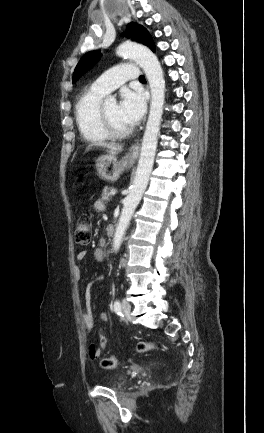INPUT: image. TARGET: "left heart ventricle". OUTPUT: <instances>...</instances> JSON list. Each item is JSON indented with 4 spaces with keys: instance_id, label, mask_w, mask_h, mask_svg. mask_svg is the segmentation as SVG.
<instances>
[{
    "instance_id": "1",
    "label": "left heart ventricle",
    "mask_w": 264,
    "mask_h": 433,
    "mask_svg": "<svg viewBox=\"0 0 264 433\" xmlns=\"http://www.w3.org/2000/svg\"><path fill=\"white\" fill-rule=\"evenodd\" d=\"M105 110L115 127L121 130L130 128V125L121 118L117 103L105 104Z\"/></svg>"
}]
</instances>
